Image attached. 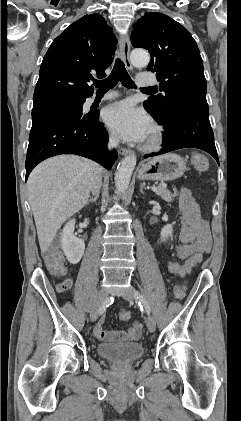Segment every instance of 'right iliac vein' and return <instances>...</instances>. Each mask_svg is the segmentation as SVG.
Returning <instances> with one entry per match:
<instances>
[{
    "mask_svg": "<svg viewBox=\"0 0 241 421\" xmlns=\"http://www.w3.org/2000/svg\"><path fill=\"white\" fill-rule=\"evenodd\" d=\"M108 297V292L106 289H101L96 297L95 303L90 312V319L92 322H95L98 318L99 310L102 304Z\"/></svg>",
    "mask_w": 241,
    "mask_h": 421,
    "instance_id": "right-iliac-vein-1",
    "label": "right iliac vein"
}]
</instances>
